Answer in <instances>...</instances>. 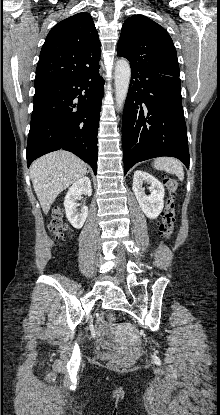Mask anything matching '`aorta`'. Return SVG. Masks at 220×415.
I'll use <instances>...</instances> for the list:
<instances>
[{
	"mask_svg": "<svg viewBox=\"0 0 220 415\" xmlns=\"http://www.w3.org/2000/svg\"><path fill=\"white\" fill-rule=\"evenodd\" d=\"M131 78L130 64L126 59H119L115 65V101L118 110L124 106Z\"/></svg>",
	"mask_w": 220,
	"mask_h": 415,
	"instance_id": "obj_1",
	"label": "aorta"
}]
</instances>
